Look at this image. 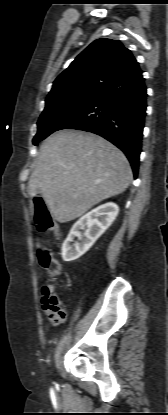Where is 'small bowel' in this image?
I'll return each mask as SVG.
<instances>
[{
	"instance_id": "small-bowel-1",
	"label": "small bowel",
	"mask_w": 168,
	"mask_h": 415,
	"mask_svg": "<svg viewBox=\"0 0 168 415\" xmlns=\"http://www.w3.org/2000/svg\"><path fill=\"white\" fill-rule=\"evenodd\" d=\"M41 294L42 309L49 320L54 325L63 323L66 318V312L60 298L53 293V288L49 285H45L42 288Z\"/></svg>"
}]
</instances>
